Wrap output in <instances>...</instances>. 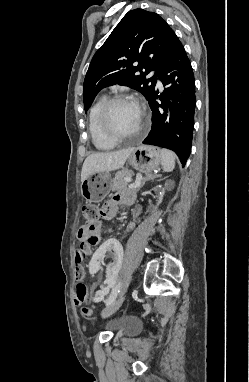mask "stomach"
<instances>
[{"instance_id":"1","label":"stomach","mask_w":249,"mask_h":382,"mask_svg":"<svg viewBox=\"0 0 249 382\" xmlns=\"http://www.w3.org/2000/svg\"><path fill=\"white\" fill-rule=\"evenodd\" d=\"M128 163L134 169L151 173L161 164L160 150L154 146L139 145L132 148ZM111 176L108 172L89 175L81 184V194L88 202H101L111 190Z\"/></svg>"}]
</instances>
